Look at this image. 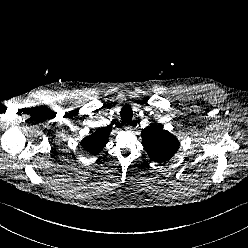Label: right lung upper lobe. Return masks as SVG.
I'll list each match as a JSON object with an SVG mask.
<instances>
[{
  "mask_svg": "<svg viewBox=\"0 0 248 248\" xmlns=\"http://www.w3.org/2000/svg\"><path fill=\"white\" fill-rule=\"evenodd\" d=\"M110 132L111 128L109 127L99 128L95 132H91V135L81 141L82 147L89 154L97 155L106 146Z\"/></svg>",
  "mask_w": 248,
  "mask_h": 248,
  "instance_id": "cb5924a9",
  "label": "right lung upper lobe"
}]
</instances>
